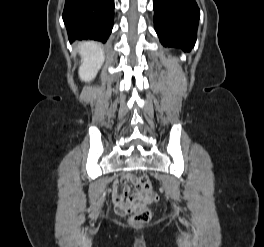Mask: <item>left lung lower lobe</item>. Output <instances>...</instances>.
Masks as SVG:
<instances>
[{"label": "left lung lower lobe", "instance_id": "0a47b994", "mask_svg": "<svg viewBox=\"0 0 264 247\" xmlns=\"http://www.w3.org/2000/svg\"><path fill=\"white\" fill-rule=\"evenodd\" d=\"M154 27L163 46L190 51L196 42L200 10L195 0H153Z\"/></svg>", "mask_w": 264, "mask_h": 247}]
</instances>
